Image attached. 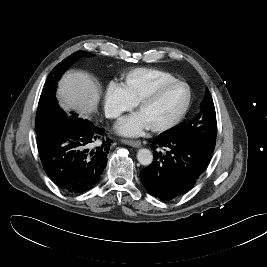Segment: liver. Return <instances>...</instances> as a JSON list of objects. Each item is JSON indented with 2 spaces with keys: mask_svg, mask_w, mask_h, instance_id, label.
I'll return each instance as SVG.
<instances>
[{
  "mask_svg": "<svg viewBox=\"0 0 267 267\" xmlns=\"http://www.w3.org/2000/svg\"><path fill=\"white\" fill-rule=\"evenodd\" d=\"M57 94L65 110L73 108L84 117L97 110L100 100L96 82L88 74L78 71L66 73L62 77Z\"/></svg>",
  "mask_w": 267,
  "mask_h": 267,
  "instance_id": "1",
  "label": "liver"
}]
</instances>
